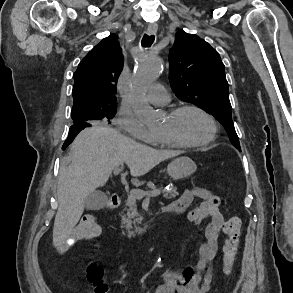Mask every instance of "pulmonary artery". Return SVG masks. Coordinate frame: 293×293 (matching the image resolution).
<instances>
[{
    "label": "pulmonary artery",
    "instance_id": "e3ab8cb5",
    "mask_svg": "<svg viewBox=\"0 0 293 293\" xmlns=\"http://www.w3.org/2000/svg\"><path fill=\"white\" fill-rule=\"evenodd\" d=\"M146 99L154 105L164 106L170 101V96L162 84H154L149 88Z\"/></svg>",
    "mask_w": 293,
    "mask_h": 293
}]
</instances>
